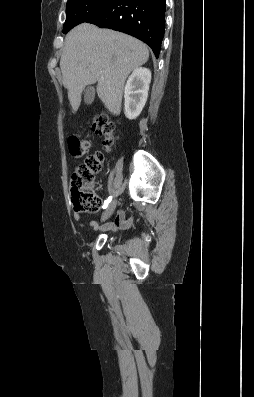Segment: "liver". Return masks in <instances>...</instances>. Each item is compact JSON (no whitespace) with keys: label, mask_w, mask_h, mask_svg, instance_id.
<instances>
[{"label":"liver","mask_w":254,"mask_h":397,"mask_svg":"<svg viewBox=\"0 0 254 397\" xmlns=\"http://www.w3.org/2000/svg\"><path fill=\"white\" fill-rule=\"evenodd\" d=\"M148 58L147 46L129 35L89 23L74 27L65 38L60 59L73 112L80 106L84 88L97 82L98 97L111 113L119 115L128 75Z\"/></svg>","instance_id":"1"}]
</instances>
